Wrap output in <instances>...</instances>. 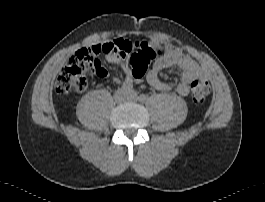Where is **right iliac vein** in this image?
<instances>
[{"label":"right iliac vein","mask_w":265,"mask_h":202,"mask_svg":"<svg viewBox=\"0 0 265 202\" xmlns=\"http://www.w3.org/2000/svg\"><path fill=\"white\" fill-rule=\"evenodd\" d=\"M115 99L118 102H124L126 100L124 90H122V89L117 90L115 93Z\"/></svg>","instance_id":"right-iliac-vein-1"}]
</instances>
